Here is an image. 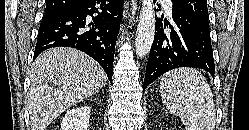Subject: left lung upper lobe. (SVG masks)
<instances>
[{
  "instance_id": "obj_1",
  "label": "left lung upper lobe",
  "mask_w": 249,
  "mask_h": 130,
  "mask_svg": "<svg viewBox=\"0 0 249 130\" xmlns=\"http://www.w3.org/2000/svg\"><path fill=\"white\" fill-rule=\"evenodd\" d=\"M173 5L208 20V9L206 0H172Z\"/></svg>"
}]
</instances>
